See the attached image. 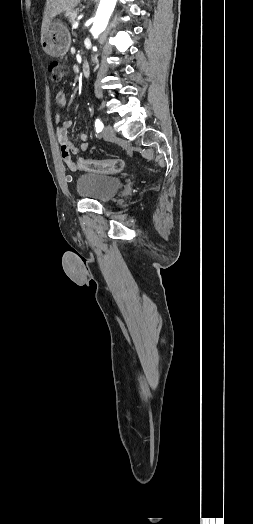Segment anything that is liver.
<instances>
[{
  "mask_svg": "<svg viewBox=\"0 0 253 524\" xmlns=\"http://www.w3.org/2000/svg\"><path fill=\"white\" fill-rule=\"evenodd\" d=\"M80 1L81 0H47L43 15L41 35L55 16L65 11L72 10L80 3Z\"/></svg>",
  "mask_w": 253,
  "mask_h": 524,
  "instance_id": "1",
  "label": "liver"
}]
</instances>
